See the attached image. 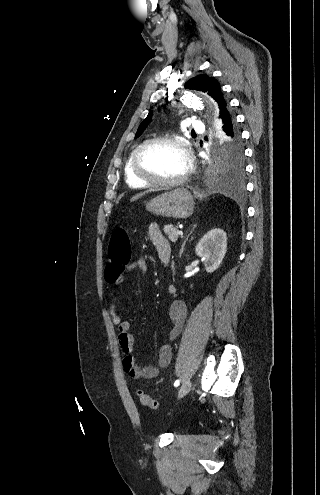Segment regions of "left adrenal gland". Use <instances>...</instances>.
Instances as JSON below:
<instances>
[{"instance_id": "a2214340", "label": "left adrenal gland", "mask_w": 320, "mask_h": 495, "mask_svg": "<svg viewBox=\"0 0 320 495\" xmlns=\"http://www.w3.org/2000/svg\"><path fill=\"white\" fill-rule=\"evenodd\" d=\"M196 228V225H194L193 229L191 230V232L187 235L186 239L184 240L182 246H181V250H180V256L182 255L183 251H184V247H185V244L186 242L188 241L189 237L191 236V234L193 233L194 229Z\"/></svg>"}]
</instances>
